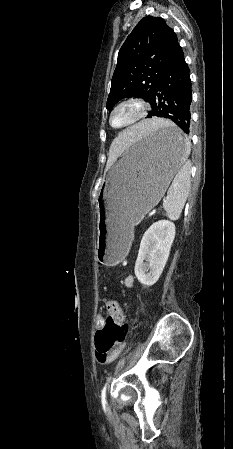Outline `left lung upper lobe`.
I'll list each match as a JSON object with an SVG mask.
<instances>
[{
  "label": "left lung upper lobe",
  "mask_w": 233,
  "mask_h": 449,
  "mask_svg": "<svg viewBox=\"0 0 233 449\" xmlns=\"http://www.w3.org/2000/svg\"><path fill=\"white\" fill-rule=\"evenodd\" d=\"M182 52L175 32L163 18L141 19L119 51L107 108L132 96L151 104L159 80Z\"/></svg>",
  "instance_id": "1"
}]
</instances>
